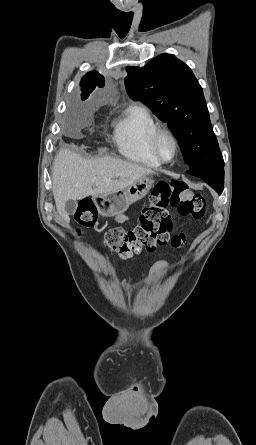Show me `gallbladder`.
<instances>
[{
  "label": "gallbladder",
  "mask_w": 256,
  "mask_h": 445,
  "mask_svg": "<svg viewBox=\"0 0 256 445\" xmlns=\"http://www.w3.org/2000/svg\"><path fill=\"white\" fill-rule=\"evenodd\" d=\"M76 208H77V201L76 200L70 199V200L66 201L65 210H66L68 215H73L75 213V211H76Z\"/></svg>",
  "instance_id": "gallbladder-1"
}]
</instances>
